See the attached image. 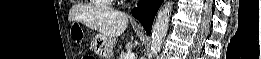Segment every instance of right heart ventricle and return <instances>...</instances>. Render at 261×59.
<instances>
[{
    "label": "right heart ventricle",
    "instance_id": "obj_1",
    "mask_svg": "<svg viewBox=\"0 0 261 59\" xmlns=\"http://www.w3.org/2000/svg\"><path fill=\"white\" fill-rule=\"evenodd\" d=\"M99 2L102 5H110L113 2V0H99Z\"/></svg>",
    "mask_w": 261,
    "mask_h": 59
}]
</instances>
